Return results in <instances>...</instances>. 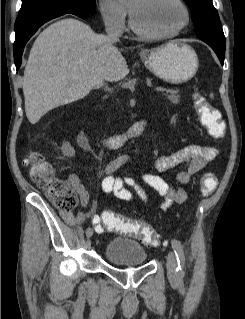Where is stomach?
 I'll use <instances>...</instances> for the list:
<instances>
[{"label":"stomach","instance_id":"obj_1","mask_svg":"<svg viewBox=\"0 0 245 319\" xmlns=\"http://www.w3.org/2000/svg\"><path fill=\"white\" fill-rule=\"evenodd\" d=\"M140 57L152 73L170 83L190 80L199 66L194 49L179 41L170 42L156 49L144 50L140 53Z\"/></svg>","mask_w":245,"mask_h":319}]
</instances>
